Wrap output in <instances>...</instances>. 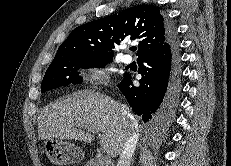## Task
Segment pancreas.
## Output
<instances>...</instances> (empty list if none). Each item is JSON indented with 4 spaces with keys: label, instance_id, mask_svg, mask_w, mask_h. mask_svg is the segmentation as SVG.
<instances>
[{
    "label": "pancreas",
    "instance_id": "pancreas-1",
    "mask_svg": "<svg viewBox=\"0 0 231 166\" xmlns=\"http://www.w3.org/2000/svg\"><path fill=\"white\" fill-rule=\"evenodd\" d=\"M85 166H106L101 162V158H92L90 159Z\"/></svg>",
    "mask_w": 231,
    "mask_h": 166
}]
</instances>
